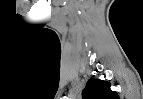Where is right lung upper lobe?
<instances>
[{
  "mask_svg": "<svg viewBox=\"0 0 143 99\" xmlns=\"http://www.w3.org/2000/svg\"><path fill=\"white\" fill-rule=\"evenodd\" d=\"M82 99H119V96L117 92L110 89L109 82L90 79L82 91Z\"/></svg>",
  "mask_w": 143,
  "mask_h": 99,
  "instance_id": "right-lung-upper-lobe-1",
  "label": "right lung upper lobe"
}]
</instances>
